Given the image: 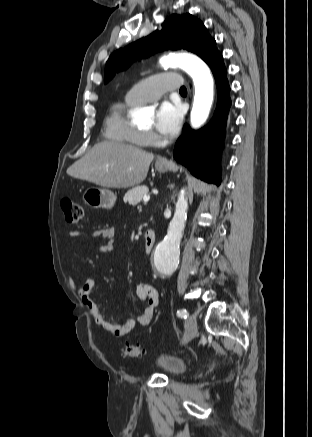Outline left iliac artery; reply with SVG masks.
<instances>
[{
  "mask_svg": "<svg viewBox=\"0 0 312 437\" xmlns=\"http://www.w3.org/2000/svg\"><path fill=\"white\" fill-rule=\"evenodd\" d=\"M188 315L189 314H188L186 309H180V310L177 311V316L180 317V318L186 319L188 317Z\"/></svg>",
  "mask_w": 312,
  "mask_h": 437,
  "instance_id": "obj_1",
  "label": "left iliac artery"
}]
</instances>
